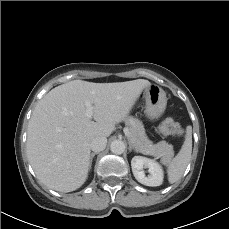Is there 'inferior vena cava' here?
Here are the masks:
<instances>
[{"mask_svg": "<svg viewBox=\"0 0 229 229\" xmlns=\"http://www.w3.org/2000/svg\"><path fill=\"white\" fill-rule=\"evenodd\" d=\"M107 139L103 136H97L92 139L90 143V148L94 152H100L103 151L106 147Z\"/></svg>", "mask_w": 229, "mask_h": 229, "instance_id": "1", "label": "inferior vena cava"}]
</instances>
